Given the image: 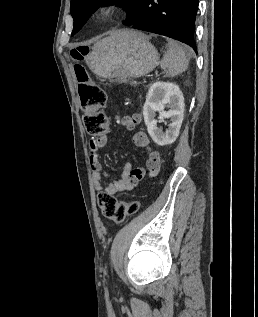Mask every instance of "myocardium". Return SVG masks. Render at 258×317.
<instances>
[{
	"label": "myocardium",
	"instance_id": "obj_1",
	"mask_svg": "<svg viewBox=\"0 0 258 317\" xmlns=\"http://www.w3.org/2000/svg\"><path fill=\"white\" fill-rule=\"evenodd\" d=\"M115 12V7L112 4H103L98 8L97 16L100 19H107Z\"/></svg>",
	"mask_w": 258,
	"mask_h": 317
}]
</instances>
